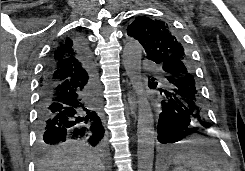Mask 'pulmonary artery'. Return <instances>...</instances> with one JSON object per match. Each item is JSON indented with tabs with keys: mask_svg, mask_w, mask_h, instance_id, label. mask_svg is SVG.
Returning a JSON list of instances; mask_svg holds the SVG:
<instances>
[{
	"mask_svg": "<svg viewBox=\"0 0 245 171\" xmlns=\"http://www.w3.org/2000/svg\"><path fill=\"white\" fill-rule=\"evenodd\" d=\"M143 67L146 69L152 68V63L149 60H144Z\"/></svg>",
	"mask_w": 245,
	"mask_h": 171,
	"instance_id": "obj_1",
	"label": "pulmonary artery"
}]
</instances>
